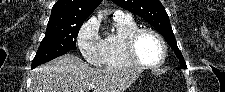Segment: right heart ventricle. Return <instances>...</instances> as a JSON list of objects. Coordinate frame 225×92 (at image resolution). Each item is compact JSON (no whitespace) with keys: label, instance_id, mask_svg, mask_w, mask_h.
I'll return each instance as SVG.
<instances>
[{"label":"right heart ventricle","instance_id":"obj_1","mask_svg":"<svg viewBox=\"0 0 225 92\" xmlns=\"http://www.w3.org/2000/svg\"><path fill=\"white\" fill-rule=\"evenodd\" d=\"M138 28L131 16L114 17V33L104 39V65L109 69L135 68L126 51V41L129 34Z\"/></svg>","mask_w":225,"mask_h":92}]
</instances>
